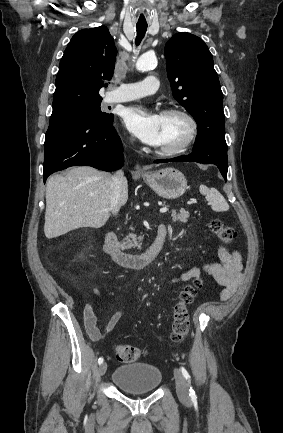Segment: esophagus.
Segmentation results:
<instances>
[{"instance_id": "esophagus-1", "label": "esophagus", "mask_w": 283, "mask_h": 433, "mask_svg": "<svg viewBox=\"0 0 283 433\" xmlns=\"http://www.w3.org/2000/svg\"><path fill=\"white\" fill-rule=\"evenodd\" d=\"M136 169H137L138 171H143L142 168H141L138 164L136 165Z\"/></svg>"}]
</instances>
